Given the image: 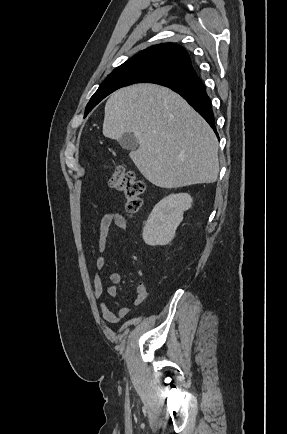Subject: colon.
I'll return each instance as SVG.
<instances>
[{"mask_svg": "<svg viewBox=\"0 0 287 434\" xmlns=\"http://www.w3.org/2000/svg\"><path fill=\"white\" fill-rule=\"evenodd\" d=\"M107 184L121 192L125 198V209L129 215H135L143 205V193L145 184L136 178L132 171L118 167L111 171L106 177Z\"/></svg>", "mask_w": 287, "mask_h": 434, "instance_id": "5ec220e1", "label": "colon"}]
</instances>
